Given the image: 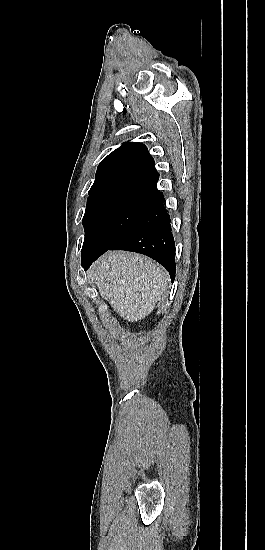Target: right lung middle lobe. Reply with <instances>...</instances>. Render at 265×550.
I'll return each mask as SVG.
<instances>
[{
    "mask_svg": "<svg viewBox=\"0 0 265 550\" xmlns=\"http://www.w3.org/2000/svg\"><path fill=\"white\" fill-rule=\"evenodd\" d=\"M156 187L121 188L89 198L81 255L103 251L122 237L156 200Z\"/></svg>",
    "mask_w": 265,
    "mask_h": 550,
    "instance_id": "obj_1",
    "label": "right lung middle lobe"
}]
</instances>
